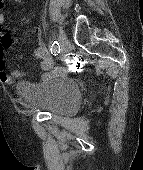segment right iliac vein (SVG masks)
<instances>
[{
  "mask_svg": "<svg viewBox=\"0 0 143 170\" xmlns=\"http://www.w3.org/2000/svg\"><path fill=\"white\" fill-rule=\"evenodd\" d=\"M59 39H60V41H61V43H62V54H61V58L63 59V58H65L67 52L69 51L70 43H69V41H68L65 33L62 32V31L59 33Z\"/></svg>",
  "mask_w": 143,
  "mask_h": 170,
  "instance_id": "1",
  "label": "right iliac vein"
}]
</instances>
